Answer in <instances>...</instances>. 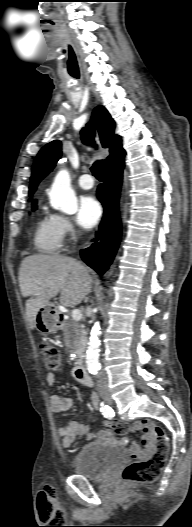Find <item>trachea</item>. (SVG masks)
Segmentation results:
<instances>
[{
  "label": "trachea",
  "mask_w": 192,
  "mask_h": 527,
  "mask_svg": "<svg viewBox=\"0 0 192 527\" xmlns=\"http://www.w3.org/2000/svg\"><path fill=\"white\" fill-rule=\"evenodd\" d=\"M102 168H103V161L102 160L94 162L93 166L91 167V171H92L93 175L98 180H102Z\"/></svg>",
  "instance_id": "1"
}]
</instances>
